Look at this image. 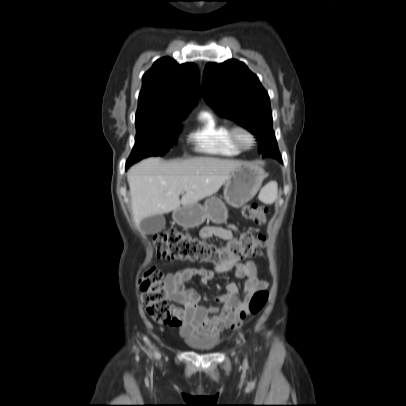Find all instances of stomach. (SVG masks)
<instances>
[{"label":"stomach","instance_id":"stomach-1","mask_svg":"<svg viewBox=\"0 0 406 406\" xmlns=\"http://www.w3.org/2000/svg\"><path fill=\"white\" fill-rule=\"evenodd\" d=\"M266 177L265 171L255 164H244L234 170L224 187V200L233 207H241L258 192ZM225 203L212 197L204 205L195 203L174 210L173 219L182 227L192 228L201 225L206 219L221 224L227 219Z\"/></svg>","mask_w":406,"mask_h":406}]
</instances>
